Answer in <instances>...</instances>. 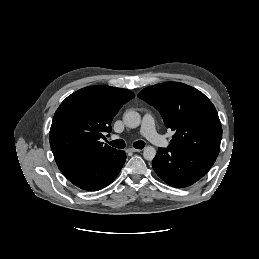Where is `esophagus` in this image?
Here are the masks:
<instances>
[{
	"instance_id": "obj_1",
	"label": "esophagus",
	"mask_w": 259,
	"mask_h": 259,
	"mask_svg": "<svg viewBox=\"0 0 259 259\" xmlns=\"http://www.w3.org/2000/svg\"><path fill=\"white\" fill-rule=\"evenodd\" d=\"M128 151H130V152H140L141 150L136 149V148H130V149H128Z\"/></svg>"
}]
</instances>
